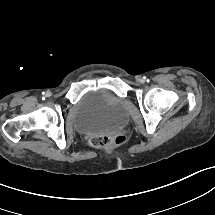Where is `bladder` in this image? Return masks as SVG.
<instances>
[{
	"mask_svg": "<svg viewBox=\"0 0 215 215\" xmlns=\"http://www.w3.org/2000/svg\"><path fill=\"white\" fill-rule=\"evenodd\" d=\"M127 120V110L117 99H83L77 105L72 125L81 135H113L123 129Z\"/></svg>",
	"mask_w": 215,
	"mask_h": 215,
	"instance_id": "31cf9c89",
	"label": "bladder"
}]
</instances>
